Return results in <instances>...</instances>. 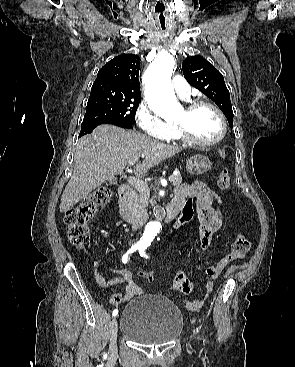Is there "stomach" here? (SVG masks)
Wrapping results in <instances>:
<instances>
[{"label": "stomach", "instance_id": "1", "mask_svg": "<svg viewBox=\"0 0 295 367\" xmlns=\"http://www.w3.org/2000/svg\"><path fill=\"white\" fill-rule=\"evenodd\" d=\"M211 167L209 158L203 155H195L190 157L186 163L187 171L192 175H201L208 171Z\"/></svg>", "mask_w": 295, "mask_h": 367}]
</instances>
